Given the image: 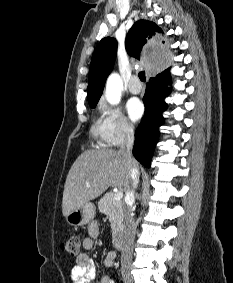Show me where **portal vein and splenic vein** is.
Here are the masks:
<instances>
[{
  "mask_svg": "<svg viewBox=\"0 0 233 283\" xmlns=\"http://www.w3.org/2000/svg\"><path fill=\"white\" fill-rule=\"evenodd\" d=\"M122 197H123V192L122 191H118V192H116L115 194H114V200H121L122 199Z\"/></svg>",
  "mask_w": 233,
  "mask_h": 283,
  "instance_id": "1",
  "label": "portal vein and splenic vein"
}]
</instances>
